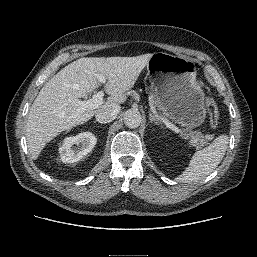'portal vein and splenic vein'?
Segmentation results:
<instances>
[{"mask_svg": "<svg viewBox=\"0 0 257 257\" xmlns=\"http://www.w3.org/2000/svg\"><path fill=\"white\" fill-rule=\"evenodd\" d=\"M96 78L99 82L101 83H105L106 82V78L102 75V74H96ZM104 97V93L102 91L97 92L96 94H94L92 96L91 99L86 100V101H81L78 100L77 104H78V109H77V113H81L87 109H96L99 108L100 106H102V104L104 103L103 100ZM162 121L165 123V125L171 129L172 131H174L175 133H180L182 135H186V133H184V131H182L181 129H179L177 126H175L174 124H172L171 122H169L167 119H165L164 117L161 118Z\"/></svg>", "mask_w": 257, "mask_h": 257, "instance_id": "18ae733b", "label": "portal vein and splenic vein"}]
</instances>
